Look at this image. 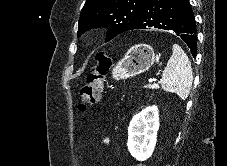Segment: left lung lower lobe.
I'll return each instance as SVG.
<instances>
[{
    "label": "left lung lower lobe",
    "instance_id": "0a47b994",
    "mask_svg": "<svg viewBox=\"0 0 227 166\" xmlns=\"http://www.w3.org/2000/svg\"><path fill=\"white\" fill-rule=\"evenodd\" d=\"M149 28L177 33L196 55V23L189 0H147L133 29Z\"/></svg>",
    "mask_w": 227,
    "mask_h": 166
}]
</instances>
